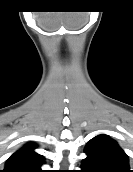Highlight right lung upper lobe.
<instances>
[{"instance_id":"1","label":"right lung upper lobe","mask_w":133,"mask_h":172,"mask_svg":"<svg viewBox=\"0 0 133 172\" xmlns=\"http://www.w3.org/2000/svg\"><path fill=\"white\" fill-rule=\"evenodd\" d=\"M35 148L34 143L26 144L6 161L5 169L0 172H43L44 157Z\"/></svg>"}]
</instances>
